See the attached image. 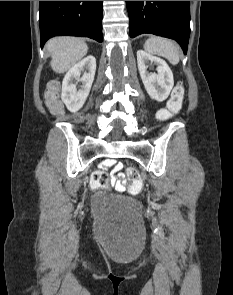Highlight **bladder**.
Here are the masks:
<instances>
[{
	"label": "bladder",
	"mask_w": 233,
	"mask_h": 295,
	"mask_svg": "<svg viewBox=\"0 0 233 295\" xmlns=\"http://www.w3.org/2000/svg\"><path fill=\"white\" fill-rule=\"evenodd\" d=\"M91 206L100 221H137V203L126 196L97 189L91 198Z\"/></svg>",
	"instance_id": "31cf9c89"
}]
</instances>
